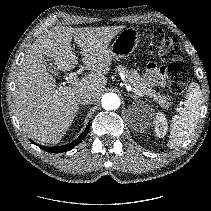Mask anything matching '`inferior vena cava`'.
I'll return each mask as SVG.
<instances>
[{
  "label": "inferior vena cava",
  "instance_id": "obj_1",
  "mask_svg": "<svg viewBox=\"0 0 211 211\" xmlns=\"http://www.w3.org/2000/svg\"><path fill=\"white\" fill-rule=\"evenodd\" d=\"M94 99L95 97L91 92H84L79 94L77 101L79 104L87 105L92 103Z\"/></svg>",
  "mask_w": 211,
  "mask_h": 211
}]
</instances>
